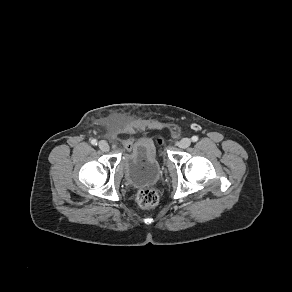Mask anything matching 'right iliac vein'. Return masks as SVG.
I'll return each instance as SVG.
<instances>
[{"label": "right iliac vein", "instance_id": "63e3f726", "mask_svg": "<svg viewBox=\"0 0 292 292\" xmlns=\"http://www.w3.org/2000/svg\"><path fill=\"white\" fill-rule=\"evenodd\" d=\"M98 146L99 148L102 150V151H109V145L106 141L104 140H101L99 143H98Z\"/></svg>", "mask_w": 292, "mask_h": 292}]
</instances>
